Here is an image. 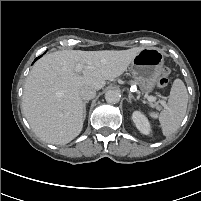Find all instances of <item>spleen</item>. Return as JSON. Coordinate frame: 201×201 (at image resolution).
Wrapping results in <instances>:
<instances>
[{
    "mask_svg": "<svg viewBox=\"0 0 201 201\" xmlns=\"http://www.w3.org/2000/svg\"><path fill=\"white\" fill-rule=\"evenodd\" d=\"M188 93L181 79H176L171 87L168 107L160 114L149 112L154 119H159L164 136L172 135L181 124L187 110Z\"/></svg>",
    "mask_w": 201,
    "mask_h": 201,
    "instance_id": "obj_1",
    "label": "spleen"
}]
</instances>
